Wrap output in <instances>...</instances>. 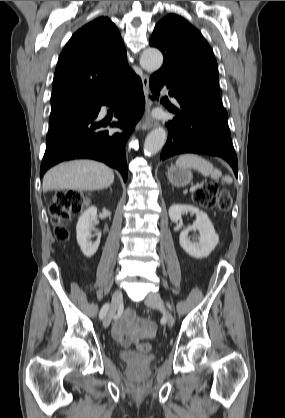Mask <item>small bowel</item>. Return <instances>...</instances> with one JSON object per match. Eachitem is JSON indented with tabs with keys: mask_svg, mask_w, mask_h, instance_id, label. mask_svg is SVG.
<instances>
[{
	"mask_svg": "<svg viewBox=\"0 0 285 418\" xmlns=\"http://www.w3.org/2000/svg\"><path fill=\"white\" fill-rule=\"evenodd\" d=\"M155 333V322L139 318L131 309H128L112 327L113 338L125 348L137 343L140 339L153 338Z\"/></svg>",
	"mask_w": 285,
	"mask_h": 418,
	"instance_id": "1",
	"label": "small bowel"
}]
</instances>
